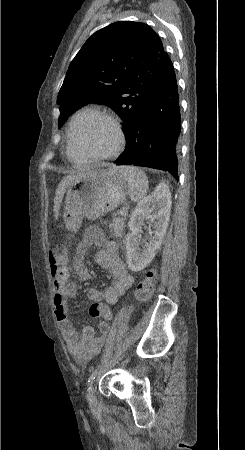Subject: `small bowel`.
Listing matches in <instances>:
<instances>
[{
	"label": "small bowel",
	"mask_w": 245,
	"mask_h": 450,
	"mask_svg": "<svg viewBox=\"0 0 245 450\" xmlns=\"http://www.w3.org/2000/svg\"><path fill=\"white\" fill-rule=\"evenodd\" d=\"M91 246L98 248L94 260L101 268L107 270L112 278L111 285L104 291L96 288L89 290L88 297L91 300L113 305L133 283V277L121 259L116 242L107 240L104 233L96 227H89L85 231L72 264L65 263L55 270L51 268L54 281V316L60 324L68 352L78 364L82 365L101 351L110 329L107 321L99 320L96 322L98 334L93 328L85 327L79 336L69 318L68 299L76 296L79 289V284L69 282V277L74 272L79 281L91 278V273L84 263L86 251Z\"/></svg>",
	"instance_id": "obj_1"
}]
</instances>
